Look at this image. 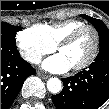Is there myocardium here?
Instances as JSON below:
<instances>
[{"mask_svg": "<svg viewBox=\"0 0 109 109\" xmlns=\"http://www.w3.org/2000/svg\"><path fill=\"white\" fill-rule=\"evenodd\" d=\"M85 30H92L95 36V40H94V46H93V50L90 54V56L81 64L76 65L71 67L72 70L74 71H79V70H83L87 67H89L95 60L98 51H99V46H100V34L99 31L97 30V28L93 25H84L81 26L79 28H77L76 30H74L72 33H70L67 37H65L58 45H57V50L59 52H61L62 49H64L67 46H70L71 44H73L77 38L85 31Z\"/></svg>", "mask_w": 109, "mask_h": 109, "instance_id": "myocardium-1", "label": "myocardium"}]
</instances>
